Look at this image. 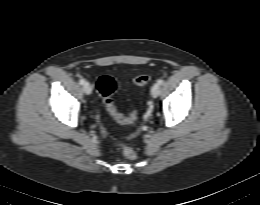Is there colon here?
Listing matches in <instances>:
<instances>
[{
  "mask_svg": "<svg viewBox=\"0 0 260 205\" xmlns=\"http://www.w3.org/2000/svg\"><path fill=\"white\" fill-rule=\"evenodd\" d=\"M149 81L150 77L147 74H140L133 79L134 85L138 87L146 85ZM96 87L99 94L102 96L105 107L116 122L119 124H131L137 119L138 112L136 110L131 111L128 115H123L118 112L113 100V94L116 90L117 84L111 76L101 75L97 79ZM123 153L130 160L137 158L136 152L130 147L124 146Z\"/></svg>",
  "mask_w": 260,
  "mask_h": 205,
  "instance_id": "1",
  "label": "colon"
}]
</instances>
